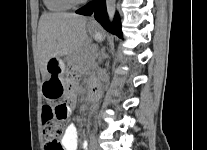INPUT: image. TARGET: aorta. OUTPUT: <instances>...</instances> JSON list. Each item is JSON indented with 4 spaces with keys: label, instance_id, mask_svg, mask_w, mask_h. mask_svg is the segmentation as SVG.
Returning a JSON list of instances; mask_svg holds the SVG:
<instances>
[{
    "label": "aorta",
    "instance_id": "aorta-1",
    "mask_svg": "<svg viewBox=\"0 0 207 150\" xmlns=\"http://www.w3.org/2000/svg\"><path fill=\"white\" fill-rule=\"evenodd\" d=\"M106 9H107L109 20L110 22H112L116 10V0H106Z\"/></svg>",
    "mask_w": 207,
    "mask_h": 150
}]
</instances>
